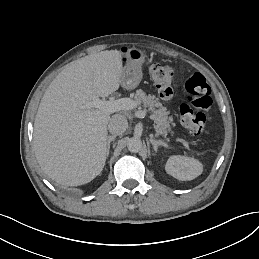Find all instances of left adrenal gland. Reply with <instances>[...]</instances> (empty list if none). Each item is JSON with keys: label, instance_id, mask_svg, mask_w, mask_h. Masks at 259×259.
<instances>
[{"label": "left adrenal gland", "instance_id": "a2214340", "mask_svg": "<svg viewBox=\"0 0 259 259\" xmlns=\"http://www.w3.org/2000/svg\"><path fill=\"white\" fill-rule=\"evenodd\" d=\"M150 143L153 145V148H154L156 153H157L159 147L169 149L168 145L165 142L160 141V140H155V139L151 138Z\"/></svg>", "mask_w": 259, "mask_h": 259}]
</instances>
